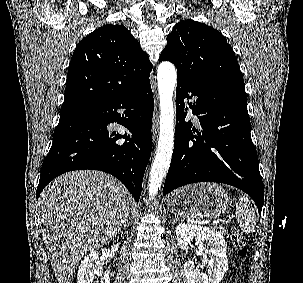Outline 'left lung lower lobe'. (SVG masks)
<instances>
[{
	"instance_id": "1",
	"label": "left lung lower lobe",
	"mask_w": 303,
	"mask_h": 283,
	"mask_svg": "<svg viewBox=\"0 0 303 283\" xmlns=\"http://www.w3.org/2000/svg\"><path fill=\"white\" fill-rule=\"evenodd\" d=\"M188 106L201 131L185 122ZM192 128V129H191ZM163 195L196 182H218L246 192L261 213L264 187L250 134L246 94L224 86L177 80L176 132Z\"/></svg>"
}]
</instances>
